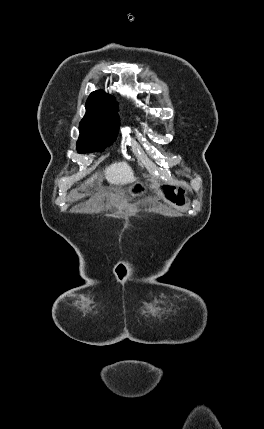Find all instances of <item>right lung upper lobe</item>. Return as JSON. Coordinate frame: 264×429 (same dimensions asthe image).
<instances>
[{
    "label": "right lung upper lobe",
    "mask_w": 264,
    "mask_h": 429,
    "mask_svg": "<svg viewBox=\"0 0 264 429\" xmlns=\"http://www.w3.org/2000/svg\"><path fill=\"white\" fill-rule=\"evenodd\" d=\"M86 106H116V102L110 95L98 90L90 94Z\"/></svg>",
    "instance_id": "1"
}]
</instances>
